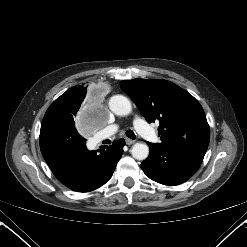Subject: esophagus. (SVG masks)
I'll list each match as a JSON object with an SVG mask.
<instances>
[{
    "instance_id": "esophagus-1",
    "label": "esophagus",
    "mask_w": 247,
    "mask_h": 247,
    "mask_svg": "<svg viewBox=\"0 0 247 247\" xmlns=\"http://www.w3.org/2000/svg\"><path fill=\"white\" fill-rule=\"evenodd\" d=\"M125 141H126V144H127V145H131V144H134V143H135L134 140L129 139V138H126Z\"/></svg>"
}]
</instances>
